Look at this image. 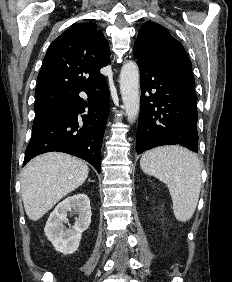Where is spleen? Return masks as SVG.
<instances>
[{"label":"spleen","mask_w":232,"mask_h":282,"mask_svg":"<svg viewBox=\"0 0 232 282\" xmlns=\"http://www.w3.org/2000/svg\"><path fill=\"white\" fill-rule=\"evenodd\" d=\"M140 166L145 173L167 184L175 217L182 222L189 220L196 209L201 188L198 158L181 147L167 146L146 152Z\"/></svg>","instance_id":"1"}]
</instances>
